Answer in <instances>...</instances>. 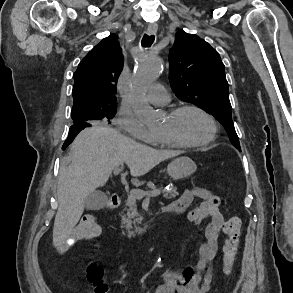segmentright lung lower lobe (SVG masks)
Returning a JSON list of instances; mask_svg holds the SVG:
<instances>
[{
	"mask_svg": "<svg viewBox=\"0 0 293 293\" xmlns=\"http://www.w3.org/2000/svg\"><path fill=\"white\" fill-rule=\"evenodd\" d=\"M91 126L90 122H79V123H74L69 130L68 138L64 142V145L62 149L64 150L71 142L73 139L76 137V135L85 127Z\"/></svg>",
	"mask_w": 293,
	"mask_h": 293,
	"instance_id": "1",
	"label": "right lung lower lobe"
}]
</instances>
